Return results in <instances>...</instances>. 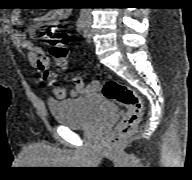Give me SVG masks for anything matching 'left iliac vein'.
<instances>
[{
    "mask_svg": "<svg viewBox=\"0 0 192 180\" xmlns=\"http://www.w3.org/2000/svg\"><path fill=\"white\" fill-rule=\"evenodd\" d=\"M83 36L86 39V41H88V42L92 41V33H91V28H90V21H88L86 26H85Z\"/></svg>",
    "mask_w": 192,
    "mask_h": 180,
    "instance_id": "left-iliac-vein-1",
    "label": "left iliac vein"
}]
</instances>
